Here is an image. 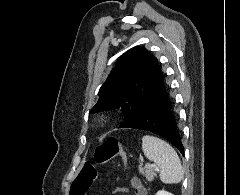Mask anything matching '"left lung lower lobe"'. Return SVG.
Wrapping results in <instances>:
<instances>
[{"label":"left lung lower lobe","instance_id":"1","mask_svg":"<svg viewBox=\"0 0 240 195\" xmlns=\"http://www.w3.org/2000/svg\"><path fill=\"white\" fill-rule=\"evenodd\" d=\"M173 105L165 84L147 101L140 111L121 128L147 130L159 134L183 154V145L177 130Z\"/></svg>","mask_w":240,"mask_h":195}]
</instances>
